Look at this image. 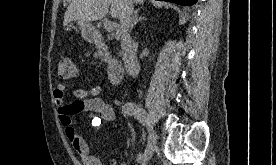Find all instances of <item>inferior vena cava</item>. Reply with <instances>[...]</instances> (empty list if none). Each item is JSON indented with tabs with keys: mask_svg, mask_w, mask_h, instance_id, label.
Returning <instances> with one entry per match:
<instances>
[{
	"mask_svg": "<svg viewBox=\"0 0 276 165\" xmlns=\"http://www.w3.org/2000/svg\"><path fill=\"white\" fill-rule=\"evenodd\" d=\"M133 15V1L124 0L122 13L120 16L119 35L121 39V49L123 53V61L130 75L137 76L140 66L135 58L132 41L129 35V27Z\"/></svg>",
	"mask_w": 276,
	"mask_h": 165,
	"instance_id": "obj_1",
	"label": "inferior vena cava"
}]
</instances>
